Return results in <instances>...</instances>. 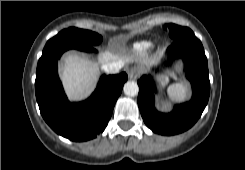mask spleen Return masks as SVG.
<instances>
[{"label":"spleen","instance_id":"1","mask_svg":"<svg viewBox=\"0 0 245 170\" xmlns=\"http://www.w3.org/2000/svg\"><path fill=\"white\" fill-rule=\"evenodd\" d=\"M167 93L173 101H184L189 96L188 84L186 82L172 84L168 87Z\"/></svg>","mask_w":245,"mask_h":170}]
</instances>
